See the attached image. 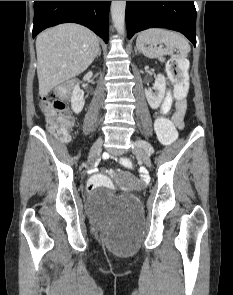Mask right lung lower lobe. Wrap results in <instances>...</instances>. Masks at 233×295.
Returning a JSON list of instances; mask_svg holds the SVG:
<instances>
[{
	"instance_id": "98d812e1",
	"label": "right lung lower lobe",
	"mask_w": 233,
	"mask_h": 295,
	"mask_svg": "<svg viewBox=\"0 0 233 295\" xmlns=\"http://www.w3.org/2000/svg\"><path fill=\"white\" fill-rule=\"evenodd\" d=\"M110 3L111 1H34L33 38L47 27L73 22L90 28L107 43Z\"/></svg>"
}]
</instances>
